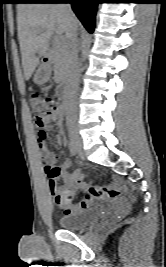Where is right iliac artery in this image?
<instances>
[{"mask_svg":"<svg viewBox=\"0 0 166 267\" xmlns=\"http://www.w3.org/2000/svg\"><path fill=\"white\" fill-rule=\"evenodd\" d=\"M69 149L72 156H75L77 153V148L73 142V140L70 138L69 140Z\"/></svg>","mask_w":166,"mask_h":267,"instance_id":"1","label":"right iliac artery"}]
</instances>
